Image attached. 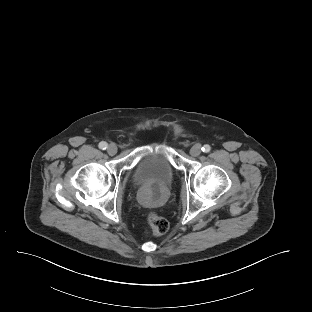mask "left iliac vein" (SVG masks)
Instances as JSON below:
<instances>
[{
	"label": "left iliac vein",
	"mask_w": 312,
	"mask_h": 312,
	"mask_svg": "<svg viewBox=\"0 0 312 312\" xmlns=\"http://www.w3.org/2000/svg\"><path fill=\"white\" fill-rule=\"evenodd\" d=\"M201 153V146L199 144H195L194 146H192V148L190 149V155L193 157H197L199 156Z\"/></svg>",
	"instance_id": "obj_1"
}]
</instances>
